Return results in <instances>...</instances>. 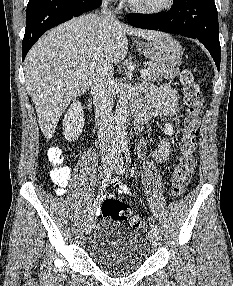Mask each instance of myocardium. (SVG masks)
Masks as SVG:
<instances>
[{
	"instance_id": "1",
	"label": "myocardium",
	"mask_w": 233,
	"mask_h": 286,
	"mask_svg": "<svg viewBox=\"0 0 233 286\" xmlns=\"http://www.w3.org/2000/svg\"><path fill=\"white\" fill-rule=\"evenodd\" d=\"M127 2H128L129 7L133 11L137 13H141V14H146V15H156V14L166 12L170 10L174 4V0H165L162 6L155 7V8H145V7H141V6L134 4L131 0H127Z\"/></svg>"
}]
</instances>
